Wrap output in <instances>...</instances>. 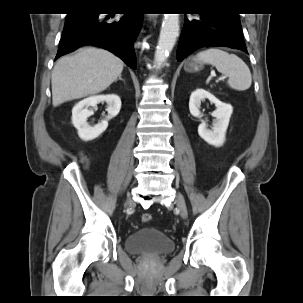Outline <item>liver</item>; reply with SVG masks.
Instances as JSON below:
<instances>
[{
  "label": "liver",
  "mask_w": 303,
  "mask_h": 303,
  "mask_svg": "<svg viewBox=\"0 0 303 303\" xmlns=\"http://www.w3.org/2000/svg\"><path fill=\"white\" fill-rule=\"evenodd\" d=\"M123 66V61L109 51L94 47L62 57L51 77L53 106L104 91L121 75Z\"/></svg>",
  "instance_id": "1"
}]
</instances>
